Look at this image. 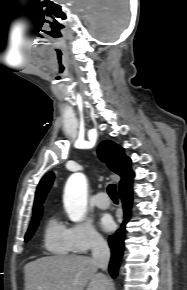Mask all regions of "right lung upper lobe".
<instances>
[{"instance_id":"right-lung-upper-lobe-1","label":"right lung upper lobe","mask_w":187,"mask_h":290,"mask_svg":"<svg viewBox=\"0 0 187 290\" xmlns=\"http://www.w3.org/2000/svg\"><path fill=\"white\" fill-rule=\"evenodd\" d=\"M98 156L106 163L110 170L121 176L119 194L132 193L131 185L134 172L130 167L131 160L124 154L123 148L111 140H105L98 148ZM53 179L54 174L48 173L40 181L35 195L33 208L34 216L32 220H34L38 215L42 214V203L52 184Z\"/></svg>"}]
</instances>
